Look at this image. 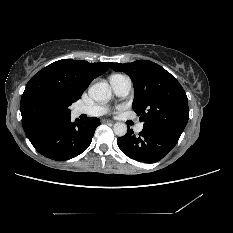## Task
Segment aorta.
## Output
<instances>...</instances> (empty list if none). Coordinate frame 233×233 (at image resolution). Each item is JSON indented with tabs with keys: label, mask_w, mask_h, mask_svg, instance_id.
Instances as JSON below:
<instances>
[{
	"label": "aorta",
	"mask_w": 233,
	"mask_h": 233,
	"mask_svg": "<svg viewBox=\"0 0 233 233\" xmlns=\"http://www.w3.org/2000/svg\"><path fill=\"white\" fill-rule=\"evenodd\" d=\"M89 96L97 102H106L111 98V88L107 82H98L93 84L88 90ZM113 131L117 136H124L127 133L125 123H116Z\"/></svg>",
	"instance_id": "1"
}]
</instances>
